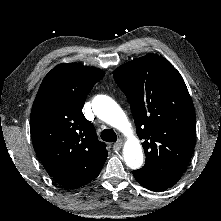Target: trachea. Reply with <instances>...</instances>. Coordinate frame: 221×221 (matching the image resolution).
Here are the masks:
<instances>
[{
    "mask_svg": "<svg viewBox=\"0 0 221 221\" xmlns=\"http://www.w3.org/2000/svg\"><path fill=\"white\" fill-rule=\"evenodd\" d=\"M101 138L106 142H115L117 140V135L112 129H104L101 132Z\"/></svg>",
    "mask_w": 221,
    "mask_h": 221,
    "instance_id": "trachea-1",
    "label": "trachea"
}]
</instances>
